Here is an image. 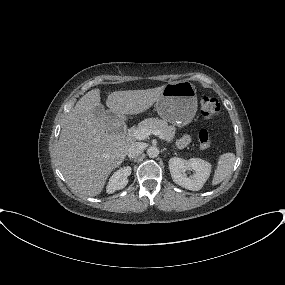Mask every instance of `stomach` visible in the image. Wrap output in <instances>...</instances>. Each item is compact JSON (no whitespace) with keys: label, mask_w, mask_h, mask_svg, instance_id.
Returning a JSON list of instances; mask_svg holds the SVG:
<instances>
[{"label":"stomach","mask_w":285,"mask_h":285,"mask_svg":"<svg viewBox=\"0 0 285 285\" xmlns=\"http://www.w3.org/2000/svg\"><path fill=\"white\" fill-rule=\"evenodd\" d=\"M197 106L196 89L189 81L168 83L156 102L159 116L176 126L190 123L196 114Z\"/></svg>","instance_id":"0dacf381"}]
</instances>
